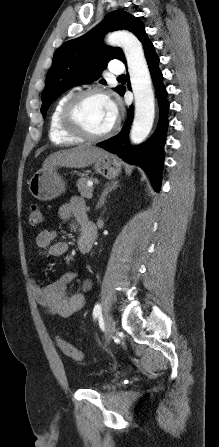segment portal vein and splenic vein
Returning a JSON list of instances; mask_svg holds the SVG:
<instances>
[{
  "label": "portal vein and splenic vein",
  "mask_w": 219,
  "mask_h": 447,
  "mask_svg": "<svg viewBox=\"0 0 219 447\" xmlns=\"http://www.w3.org/2000/svg\"><path fill=\"white\" fill-rule=\"evenodd\" d=\"M87 185H88L89 187H92V186H93V182L89 181V182L87 183ZM91 197H92V194H90V195L88 196V198H91Z\"/></svg>",
  "instance_id": "1"
}]
</instances>
